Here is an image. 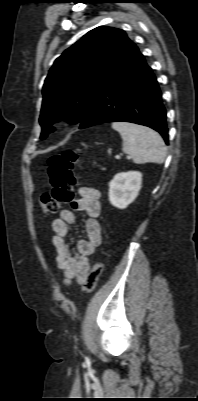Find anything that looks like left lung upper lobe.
Returning a JSON list of instances; mask_svg holds the SVG:
<instances>
[{
	"label": "left lung upper lobe",
	"instance_id": "1",
	"mask_svg": "<svg viewBox=\"0 0 198 401\" xmlns=\"http://www.w3.org/2000/svg\"><path fill=\"white\" fill-rule=\"evenodd\" d=\"M135 48L117 28L97 27L58 57L43 86L40 139L54 131L59 120L78 123L94 98Z\"/></svg>",
	"mask_w": 198,
	"mask_h": 401
}]
</instances>
